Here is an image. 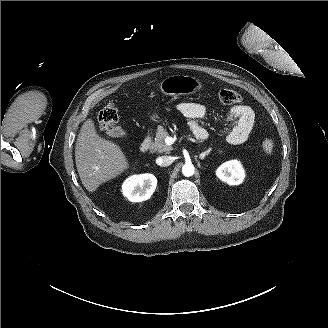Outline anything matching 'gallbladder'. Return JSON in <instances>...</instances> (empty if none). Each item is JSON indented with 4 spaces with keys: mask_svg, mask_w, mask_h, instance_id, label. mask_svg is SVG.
I'll use <instances>...</instances> for the list:
<instances>
[{
    "mask_svg": "<svg viewBox=\"0 0 328 328\" xmlns=\"http://www.w3.org/2000/svg\"><path fill=\"white\" fill-rule=\"evenodd\" d=\"M105 133L109 137H113V138H128L129 137L128 131L121 125H115L113 127L108 126L105 128Z\"/></svg>",
    "mask_w": 328,
    "mask_h": 328,
    "instance_id": "1",
    "label": "gallbladder"
}]
</instances>
